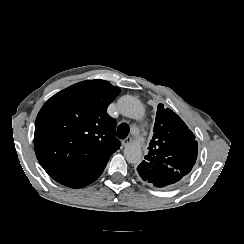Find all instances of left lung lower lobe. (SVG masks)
<instances>
[{"instance_id": "1", "label": "left lung lower lobe", "mask_w": 244, "mask_h": 244, "mask_svg": "<svg viewBox=\"0 0 244 244\" xmlns=\"http://www.w3.org/2000/svg\"><path fill=\"white\" fill-rule=\"evenodd\" d=\"M137 171L140 177L148 182L153 184L156 187H165L171 184H174L180 181L184 176L183 175H172V174H160L156 170L144 169L140 166L137 167Z\"/></svg>"}]
</instances>
